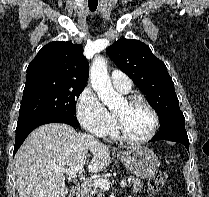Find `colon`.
<instances>
[{
  "label": "colon",
  "mask_w": 209,
  "mask_h": 197,
  "mask_svg": "<svg viewBox=\"0 0 209 197\" xmlns=\"http://www.w3.org/2000/svg\"><path fill=\"white\" fill-rule=\"evenodd\" d=\"M168 182V176L166 173L158 171L155 172L148 181V187L151 191H159Z\"/></svg>",
  "instance_id": "1"
}]
</instances>
